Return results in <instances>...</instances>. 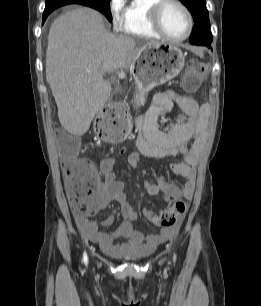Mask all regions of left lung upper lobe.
Returning <instances> with one entry per match:
<instances>
[{
	"mask_svg": "<svg viewBox=\"0 0 261 306\" xmlns=\"http://www.w3.org/2000/svg\"><path fill=\"white\" fill-rule=\"evenodd\" d=\"M191 12L194 26L190 35L191 44L205 45L210 48L213 40L210 32L209 14L205 0H180Z\"/></svg>",
	"mask_w": 261,
	"mask_h": 306,
	"instance_id": "1",
	"label": "left lung upper lobe"
}]
</instances>
